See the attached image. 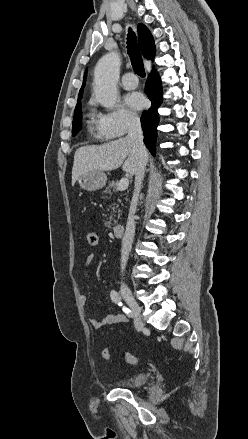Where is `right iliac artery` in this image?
I'll use <instances>...</instances> for the list:
<instances>
[{"label":"right iliac artery","mask_w":248,"mask_h":439,"mask_svg":"<svg viewBox=\"0 0 248 439\" xmlns=\"http://www.w3.org/2000/svg\"><path fill=\"white\" fill-rule=\"evenodd\" d=\"M110 297L112 299V301L117 304L118 306H122V301H121V297L119 295V293L115 290H112L110 293ZM123 311L129 316L132 317V313L130 311V309L126 308L125 306L123 307Z\"/></svg>","instance_id":"obj_1"}]
</instances>
